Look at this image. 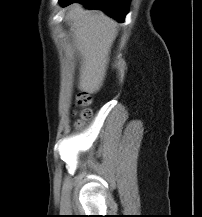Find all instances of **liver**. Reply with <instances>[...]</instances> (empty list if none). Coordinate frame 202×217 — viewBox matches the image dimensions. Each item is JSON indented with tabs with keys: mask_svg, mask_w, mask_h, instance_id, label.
<instances>
[{
	"mask_svg": "<svg viewBox=\"0 0 202 217\" xmlns=\"http://www.w3.org/2000/svg\"><path fill=\"white\" fill-rule=\"evenodd\" d=\"M65 20L73 28V39L81 56L78 88L96 93L105 79L109 53L118 33L117 22L79 4L68 10Z\"/></svg>",
	"mask_w": 202,
	"mask_h": 217,
	"instance_id": "1",
	"label": "liver"
}]
</instances>
